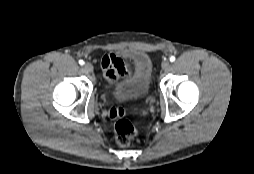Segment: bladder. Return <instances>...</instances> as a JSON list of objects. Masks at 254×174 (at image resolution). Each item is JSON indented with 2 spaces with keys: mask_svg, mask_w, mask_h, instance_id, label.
<instances>
[{
  "mask_svg": "<svg viewBox=\"0 0 254 174\" xmlns=\"http://www.w3.org/2000/svg\"><path fill=\"white\" fill-rule=\"evenodd\" d=\"M133 60L131 72L116 84L115 96L127 98L147 97L152 88V61L143 51L130 52Z\"/></svg>",
  "mask_w": 254,
  "mask_h": 174,
  "instance_id": "31cf9c89",
  "label": "bladder"
}]
</instances>
